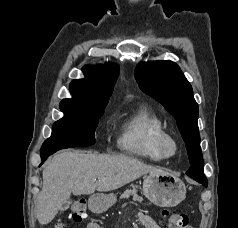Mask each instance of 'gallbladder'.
Instances as JSON below:
<instances>
[{"label": "gallbladder", "mask_w": 238, "mask_h": 228, "mask_svg": "<svg viewBox=\"0 0 238 228\" xmlns=\"http://www.w3.org/2000/svg\"><path fill=\"white\" fill-rule=\"evenodd\" d=\"M68 207H69V203H66V204H64V205L60 208V210H61V211H64V210H66Z\"/></svg>", "instance_id": "1"}]
</instances>
